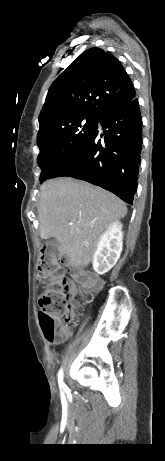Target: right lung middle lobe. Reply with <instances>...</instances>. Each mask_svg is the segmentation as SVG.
Returning <instances> with one entry per match:
<instances>
[{
	"label": "right lung middle lobe",
	"instance_id": "right-lung-middle-lobe-1",
	"mask_svg": "<svg viewBox=\"0 0 165 461\" xmlns=\"http://www.w3.org/2000/svg\"><path fill=\"white\" fill-rule=\"evenodd\" d=\"M86 120V121H84ZM98 118L79 116L52 125L40 136L38 165L42 172L40 181H45L71 157L93 134Z\"/></svg>",
	"mask_w": 165,
	"mask_h": 461
}]
</instances>
